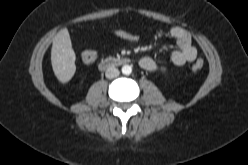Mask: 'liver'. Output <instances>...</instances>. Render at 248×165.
<instances>
[{
	"label": "liver",
	"mask_w": 248,
	"mask_h": 165,
	"mask_svg": "<svg viewBox=\"0 0 248 165\" xmlns=\"http://www.w3.org/2000/svg\"><path fill=\"white\" fill-rule=\"evenodd\" d=\"M76 55L67 28L61 29L53 38L51 64L55 76L61 83L68 82L76 71Z\"/></svg>",
	"instance_id": "liver-1"
}]
</instances>
